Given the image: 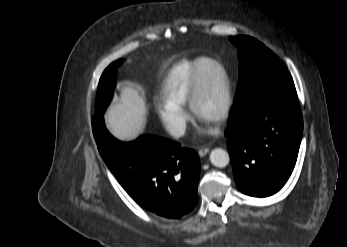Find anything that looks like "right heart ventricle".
Segmentation results:
<instances>
[{
	"instance_id": "e07e8e85",
	"label": "right heart ventricle",
	"mask_w": 347,
	"mask_h": 247,
	"mask_svg": "<svg viewBox=\"0 0 347 247\" xmlns=\"http://www.w3.org/2000/svg\"><path fill=\"white\" fill-rule=\"evenodd\" d=\"M204 58L177 63L168 73L163 85L162 96L167 102L185 106L194 70L202 65ZM204 65V64H203ZM202 65V66H203Z\"/></svg>"
}]
</instances>
